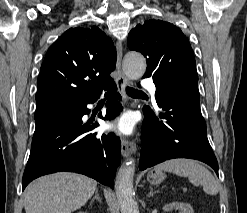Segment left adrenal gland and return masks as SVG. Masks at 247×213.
Listing matches in <instances>:
<instances>
[{
  "label": "left adrenal gland",
  "instance_id": "1",
  "mask_svg": "<svg viewBox=\"0 0 247 213\" xmlns=\"http://www.w3.org/2000/svg\"><path fill=\"white\" fill-rule=\"evenodd\" d=\"M158 191H153V188L150 187V193L148 194V196H153V194L157 193Z\"/></svg>",
  "mask_w": 247,
  "mask_h": 213
}]
</instances>
